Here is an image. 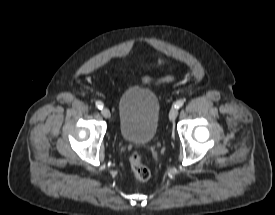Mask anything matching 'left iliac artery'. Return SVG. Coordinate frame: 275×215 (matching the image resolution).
<instances>
[{"label":"left iliac artery","instance_id":"44dca946","mask_svg":"<svg viewBox=\"0 0 275 215\" xmlns=\"http://www.w3.org/2000/svg\"><path fill=\"white\" fill-rule=\"evenodd\" d=\"M184 105V102L182 100H179L177 101L175 104H174V107L179 109L181 108L182 106Z\"/></svg>","mask_w":275,"mask_h":215}]
</instances>
